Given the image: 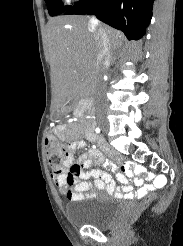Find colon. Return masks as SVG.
I'll use <instances>...</instances> for the list:
<instances>
[{"instance_id": "1", "label": "colon", "mask_w": 183, "mask_h": 246, "mask_svg": "<svg viewBox=\"0 0 183 246\" xmlns=\"http://www.w3.org/2000/svg\"><path fill=\"white\" fill-rule=\"evenodd\" d=\"M46 154H47V159L49 165L54 169V170H60L64 167L66 163V154L64 152V147L62 142L52 133H49L46 137ZM120 160H124L125 162L129 161L128 157H125V155H120ZM76 171H69V173H74ZM153 198V195L148 196L142 205L127 213L124 217L125 221H131L133 220L139 210L144 207L146 204H148Z\"/></svg>"}]
</instances>
